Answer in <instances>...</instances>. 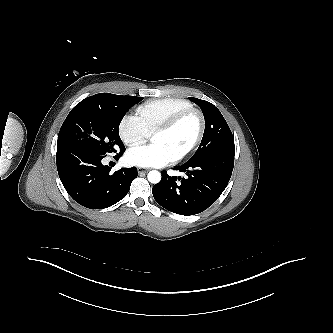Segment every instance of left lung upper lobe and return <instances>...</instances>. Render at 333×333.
<instances>
[{
	"label": "left lung upper lobe",
	"mask_w": 333,
	"mask_h": 333,
	"mask_svg": "<svg viewBox=\"0 0 333 333\" xmlns=\"http://www.w3.org/2000/svg\"><path fill=\"white\" fill-rule=\"evenodd\" d=\"M189 100L200 106L206 126L199 148L188 161L215 155L234 156V137L217 107L205 100L193 97H189Z\"/></svg>",
	"instance_id": "1"
}]
</instances>
